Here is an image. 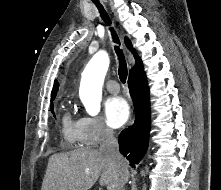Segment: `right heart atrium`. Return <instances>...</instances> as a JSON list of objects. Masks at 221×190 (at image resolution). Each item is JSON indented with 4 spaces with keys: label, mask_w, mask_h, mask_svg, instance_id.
I'll list each match as a JSON object with an SVG mask.
<instances>
[{
    "label": "right heart atrium",
    "mask_w": 221,
    "mask_h": 190,
    "mask_svg": "<svg viewBox=\"0 0 221 190\" xmlns=\"http://www.w3.org/2000/svg\"><path fill=\"white\" fill-rule=\"evenodd\" d=\"M81 143L88 147H96L113 136L112 130L98 116L84 115L79 119Z\"/></svg>",
    "instance_id": "1"
}]
</instances>
